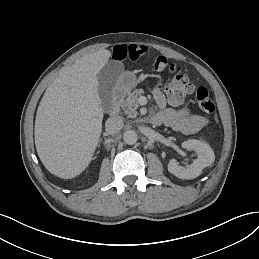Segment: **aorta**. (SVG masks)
<instances>
[{"mask_svg": "<svg viewBox=\"0 0 259 259\" xmlns=\"http://www.w3.org/2000/svg\"><path fill=\"white\" fill-rule=\"evenodd\" d=\"M123 140L126 144L133 145L138 140L137 133L133 130H127L123 134Z\"/></svg>", "mask_w": 259, "mask_h": 259, "instance_id": "762f6f07", "label": "aorta"}]
</instances>
